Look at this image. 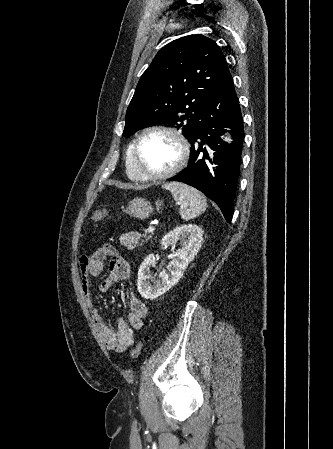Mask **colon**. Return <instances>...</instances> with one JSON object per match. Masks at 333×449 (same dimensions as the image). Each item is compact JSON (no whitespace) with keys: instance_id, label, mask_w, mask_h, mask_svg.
<instances>
[{"instance_id":"colon-1","label":"colon","mask_w":333,"mask_h":449,"mask_svg":"<svg viewBox=\"0 0 333 449\" xmlns=\"http://www.w3.org/2000/svg\"><path fill=\"white\" fill-rule=\"evenodd\" d=\"M107 215H108V211L107 210L100 209V210H97V211H95L93 213L92 220L94 222H100V221L104 220L107 217ZM142 349H143V341H140V342L136 343L134 345V347L132 348V350H131V358L132 359L138 358L139 355L142 352Z\"/></svg>"}]
</instances>
